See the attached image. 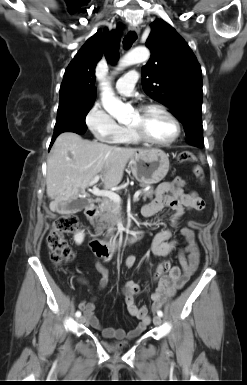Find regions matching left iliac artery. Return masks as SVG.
<instances>
[{"label": "left iliac artery", "instance_id": "left-iliac-artery-1", "mask_svg": "<svg viewBox=\"0 0 247 385\" xmlns=\"http://www.w3.org/2000/svg\"><path fill=\"white\" fill-rule=\"evenodd\" d=\"M157 315L160 316V317H162V316H163V312H162L161 310H158V311H157Z\"/></svg>", "mask_w": 247, "mask_h": 385}]
</instances>
